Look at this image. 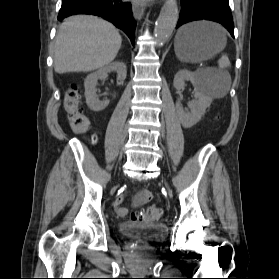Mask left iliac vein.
I'll list each match as a JSON object with an SVG mask.
<instances>
[{
	"label": "left iliac vein",
	"instance_id": "obj_1",
	"mask_svg": "<svg viewBox=\"0 0 279 279\" xmlns=\"http://www.w3.org/2000/svg\"><path fill=\"white\" fill-rule=\"evenodd\" d=\"M166 187H167V189L169 190V187H168V185L166 184Z\"/></svg>",
	"mask_w": 279,
	"mask_h": 279
}]
</instances>
